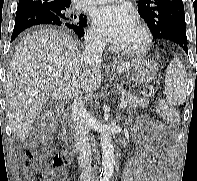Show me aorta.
<instances>
[{"label":"aorta","mask_w":197,"mask_h":181,"mask_svg":"<svg viewBox=\"0 0 197 181\" xmlns=\"http://www.w3.org/2000/svg\"><path fill=\"white\" fill-rule=\"evenodd\" d=\"M102 170L97 181H110L115 165V155L111 136L107 132L101 134Z\"/></svg>","instance_id":"762f6f07"}]
</instances>
